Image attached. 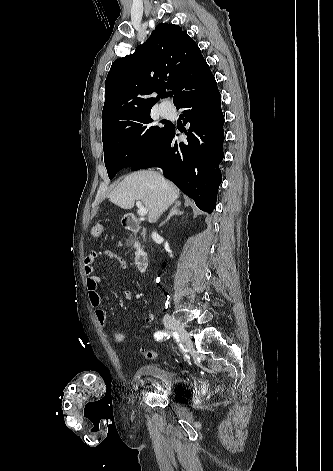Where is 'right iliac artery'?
<instances>
[{"instance_id":"82829eb1","label":"right iliac artery","mask_w":333,"mask_h":471,"mask_svg":"<svg viewBox=\"0 0 333 471\" xmlns=\"http://www.w3.org/2000/svg\"><path fill=\"white\" fill-rule=\"evenodd\" d=\"M154 337L157 341L163 339L164 337L170 338V334L166 331H158L154 334Z\"/></svg>"}]
</instances>
